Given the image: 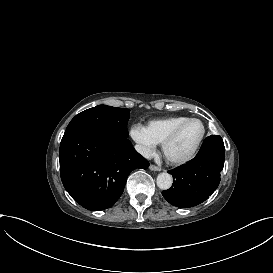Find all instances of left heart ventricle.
<instances>
[{"instance_id":"left-heart-ventricle-1","label":"left heart ventricle","mask_w":273,"mask_h":273,"mask_svg":"<svg viewBox=\"0 0 273 273\" xmlns=\"http://www.w3.org/2000/svg\"><path fill=\"white\" fill-rule=\"evenodd\" d=\"M203 133V124L194 120L185 124L176 138L167 147V155L171 158H181L188 155L196 146Z\"/></svg>"}]
</instances>
